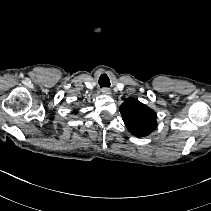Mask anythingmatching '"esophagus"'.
<instances>
[{"mask_svg": "<svg viewBox=\"0 0 211 211\" xmlns=\"http://www.w3.org/2000/svg\"><path fill=\"white\" fill-rule=\"evenodd\" d=\"M101 92L104 95H110L111 94V90L109 88H106V87L103 88Z\"/></svg>", "mask_w": 211, "mask_h": 211, "instance_id": "esophagus-1", "label": "esophagus"}]
</instances>
